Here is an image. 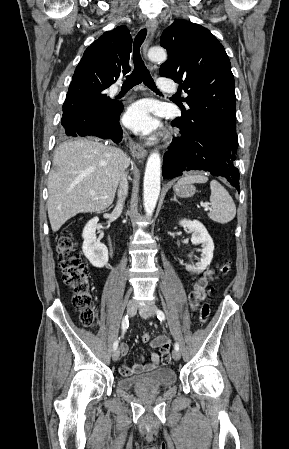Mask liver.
<instances>
[{
	"instance_id": "6515ba94",
	"label": "liver",
	"mask_w": 289,
	"mask_h": 449,
	"mask_svg": "<svg viewBox=\"0 0 289 449\" xmlns=\"http://www.w3.org/2000/svg\"><path fill=\"white\" fill-rule=\"evenodd\" d=\"M129 163L122 150L91 139L59 145L48 176L47 208L52 231L57 232L79 213L106 210Z\"/></svg>"
}]
</instances>
